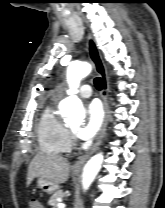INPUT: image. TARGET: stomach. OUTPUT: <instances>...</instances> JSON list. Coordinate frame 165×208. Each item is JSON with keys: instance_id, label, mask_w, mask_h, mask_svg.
<instances>
[{"instance_id": "1", "label": "stomach", "mask_w": 165, "mask_h": 208, "mask_svg": "<svg viewBox=\"0 0 165 208\" xmlns=\"http://www.w3.org/2000/svg\"><path fill=\"white\" fill-rule=\"evenodd\" d=\"M73 173L77 175L79 172L74 170ZM37 186L47 194H52L58 189V185L41 177L37 180Z\"/></svg>"}]
</instances>
